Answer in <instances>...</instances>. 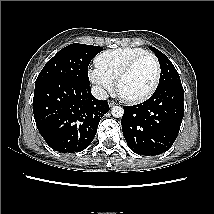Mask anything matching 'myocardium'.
<instances>
[{"label": "myocardium", "mask_w": 214, "mask_h": 214, "mask_svg": "<svg viewBox=\"0 0 214 214\" xmlns=\"http://www.w3.org/2000/svg\"><path fill=\"white\" fill-rule=\"evenodd\" d=\"M149 57L150 59H152V61L154 62L155 65V69H156V75H155V80L154 83L152 85V87L143 95L139 96V97H127L125 95H123L120 91V85L122 83V81L125 79V77L132 71V69L135 67V65L141 61L143 58ZM160 80H161V67H160V63L158 61V59L156 58V56L150 52H145L143 54H140L136 57H134L119 73L117 80H116V87H117V92L119 94V96L127 103L130 104H138V103H142L146 100H148L157 90L159 84H160Z\"/></svg>", "instance_id": "1"}]
</instances>
